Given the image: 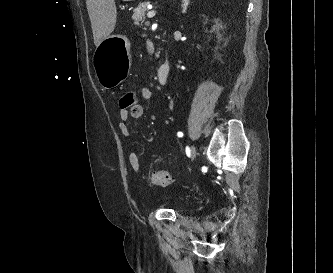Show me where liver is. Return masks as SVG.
Masks as SVG:
<instances>
[{
    "mask_svg": "<svg viewBox=\"0 0 333 273\" xmlns=\"http://www.w3.org/2000/svg\"><path fill=\"white\" fill-rule=\"evenodd\" d=\"M91 21L94 44L98 46L113 32L117 10L115 0H86Z\"/></svg>",
    "mask_w": 333,
    "mask_h": 273,
    "instance_id": "1",
    "label": "liver"
}]
</instances>
